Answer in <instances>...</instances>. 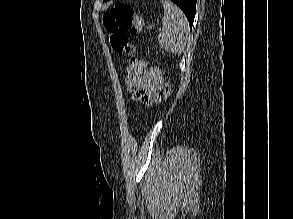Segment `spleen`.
Listing matches in <instances>:
<instances>
[{
  "instance_id": "1",
  "label": "spleen",
  "mask_w": 293,
  "mask_h": 219,
  "mask_svg": "<svg viewBox=\"0 0 293 219\" xmlns=\"http://www.w3.org/2000/svg\"><path fill=\"white\" fill-rule=\"evenodd\" d=\"M164 8L162 31L159 33L160 46L174 54H181L188 41L189 23L184 13L169 0H161Z\"/></svg>"
}]
</instances>
